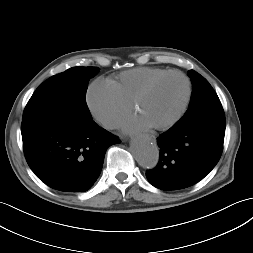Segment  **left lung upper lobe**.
Segmentation results:
<instances>
[{"mask_svg":"<svg viewBox=\"0 0 253 253\" xmlns=\"http://www.w3.org/2000/svg\"><path fill=\"white\" fill-rule=\"evenodd\" d=\"M193 91L189 108L179 121L192 122L212 117H225L221 102L209 82L197 72L190 70Z\"/></svg>","mask_w":253,"mask_h":253,"instance_id":"left-lung-upper-lobe-1","label":"left lung upper lobe"}]
</instances>
